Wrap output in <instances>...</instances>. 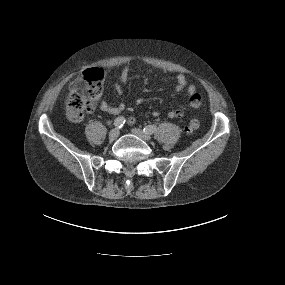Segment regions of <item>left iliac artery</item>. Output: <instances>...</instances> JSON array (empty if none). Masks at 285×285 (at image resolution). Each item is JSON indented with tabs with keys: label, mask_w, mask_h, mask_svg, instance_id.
Masks as SVG:
<instances>
[{
	"label": "left iliac artery",
	"mask_w": 285,
	"mask_h": 285,
	"mask_svg": "<svg viewBox=\"0 0 285 285\" xmlns=\"http://www.w3.org/2000/svg\"><path fill=\"white\" fill-rule=\"evenodd\" d=\"M157 127L155 125H148L146 126L143 131L146 133V134H153L155 131H156Z\"/></svg>",
	"instance_id": "left-iliac-artery-1"
}]
</instances>
